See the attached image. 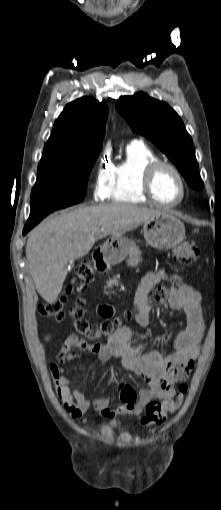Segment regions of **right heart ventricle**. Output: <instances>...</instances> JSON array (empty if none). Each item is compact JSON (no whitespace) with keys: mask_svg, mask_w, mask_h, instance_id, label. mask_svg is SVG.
<instances>
[{"mask_svg":"<svg viewBox=\"0 0 221 510\" xmlns=\"http://www.w3.org/2000/svg\"><path fill=\"white\" fill-rule=\"evenodd\" d=\"M158 156L142 141L134 140L126 147V157L112 169L109 198L112 202L140 204L148 200L142 192L144 166Z\"/></svg>","mask_w":221,"mask_h":510,"instance_id":"obj_1","label":"right heart ventricle"}]
</instances>
